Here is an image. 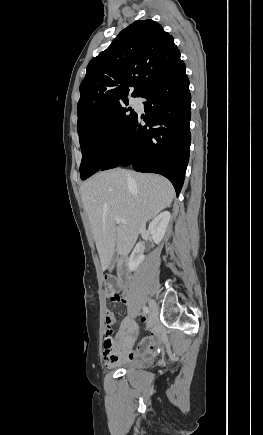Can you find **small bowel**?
<instances>
[{"label": "small bowel", "instance_id": "small-bowel-1", "mask_svg": "<svg viewBox=\"0 0 263 435\" xmlns=\"http://www.w3.org/2000/svg\"><path fill=\"white\" fill-rule=\"evenodd\" d=\"M121 303H127L126 299L121 298ZM110 320L113 325L115 317L111 312H107L105 320ZM145 321V318H142ZM136 333V324L131 318H124L113 341L114 350H103V358L107 365L115 366L128 362H136L152 357L159 344L158 334L155 331L144 336L133 349V342Z\"/></svg>", "mask_w": 263, "mask_h": 435}]
</instances>
